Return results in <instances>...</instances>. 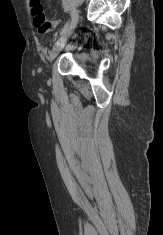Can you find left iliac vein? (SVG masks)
<instances>
[{"mask_svg": "<svg viewBox=\"0 0 163 235\" xmlns=\"http://www.w3.org/2000/svg\"><path fill=\"white\" fill-rule=\"evenodd\" d=\"M73 30H71L69 32V34L67 36H64L63 38H60L56 44L54 45V47L52 48L51 50V53H50V61L52 62L56 57L57 55L64 49V47L66 46V43L71 35Z\"/></svg>", "mask_w": 163, "mask_h": 235, "instance_id": "left-iliac-vein-1", "label": "left iliac vein"}]
</instances>
